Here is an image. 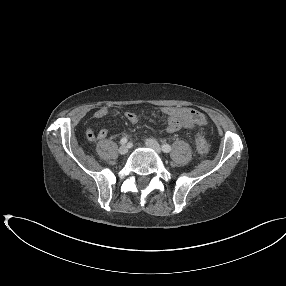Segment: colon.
I'll list each match as a JSON object with an SVG mask.
<instances>
[{"instance_id":"5ec220e1","label":"colon","mask_w":286,"mask_h":286,"mask_svg":"<svg viewBox=\"0 0 286 286\" xmlns=\"http://www.w3.org/2000/svg\"><path fill=\"white\" fill-rule=\"evenodd\" d=\"M195 144H196V149L200 154H206L208 152L209 144L202 135H198L196 137Z\"/></svg>"}]
</instances>
